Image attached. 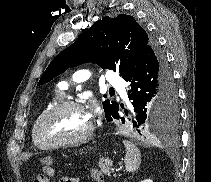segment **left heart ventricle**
Wrapping results in <instances>:
<instances>
[{
    "mask_svg": "<svg viewBox=\"0 0 211 182\" xmlns=\"http://www.w3.org/2000/svg\"><path fill=\"white\" fill-rule=\"evenodd\" d=\"M90 122L87 112L78 108H65L45 121L41 136L45 142L72 139L82 135Z\"/></svg>",
    "mask_w": 211,
    "mask_h": 182,
    "instance_id": "b2bd125f",
    "label": "left heart ventricle"
}]
</instances>
